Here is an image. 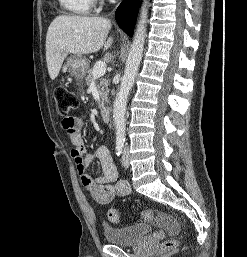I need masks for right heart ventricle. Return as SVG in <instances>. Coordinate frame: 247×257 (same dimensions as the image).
I'll list each match as a JSON object with an SVG mask.
<instances>
[{"label":"right heart ventricle","mask_w":247,"mask_h":257,"mask_svg":"<svg viewBox=\"0 0 247 257\" xmlns=\"http://www.w3.org/2000/svg\"><path fill=\"white\" fill-rule=\"evenodd\" d=\"M95 0H59L61 6L75 15H87L90 13Z\"/></svg>","instance_id":"right-heart-ventricle-1"}]
</instances>
